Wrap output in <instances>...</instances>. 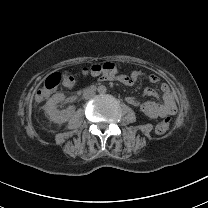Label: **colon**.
<instances>
[{
  "label": "colon",
  "mask_w": 208,
  "mask_h": 208,
  "mask_svg": "<svg viewBox=\"0 0 208 208\" xmlns=\"http://www.w3.org/2000/svg\"><path fill=\"white\" fill-rule=\"evenodd\" d=\"M121 70V66L118 62L107 61V62H95L92 65L85 66L84 73L90 74L95 77L104 75H118ZM72 81V75L70 71L63 70L62 73L56 72L49 75L45 80L44 89L45 91L55 90L60 84H69ZM43 93L39 91V94ZM171 127V121L169 119L162 120L156 126V133L163 135L169 131Z\"/></svg>",
  "instance_id": "colon-1"
}]
</instances>
